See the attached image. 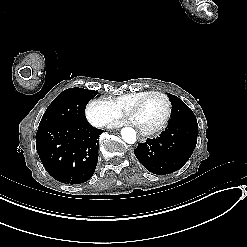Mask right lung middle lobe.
Masks as SVG:
<instances>
[{
	"mask_svg": "<svg viewBox=\"0 0 247 247\" xmlns=\"http://www.w3.org/2000/svg\"><path fill=\"white\" fill-rule=\"evenodd\" d=\"M96 95V91L78 87L64 90L48 106L39 127L52 123L85 122L86 105Z\"/></svg>",
	"mask_w": 247,
	"mask_h": 247,
	"instance_id": "right-lung-middle-lobe-1",
	"label": "right lung middle lobe"
}]
</instances>
